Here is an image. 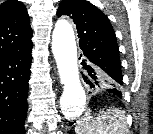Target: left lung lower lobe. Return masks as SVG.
I'll return each mask as SVG.
<instances>
[{
	"instance_id": "left-lung-lower-lobe-1",
	"label": "left lung lower lobe",
	"mask_w": 153,
	"mask_h": 134,
	"mask_svg": "<svg viewBox=\"0 0 153 134\" xmlns=\"http://www.w3.org/2000/svg\"><path fill=\"white\" fill-rule=\"evenodd\" d=\"M82 64L89 74V77H84V79L87 84L90 85V88L93 89L92 91L96 90L98 87L103 86L108 74L105 71L98 69L86 59L82 61ZM108 91L120 98L122 97V94L118 89H109Z\"/></svg>"
}]
</instances>
